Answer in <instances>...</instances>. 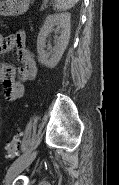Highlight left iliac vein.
Wrapping results in <instances>:
<instances>
[{
	"mask_svg": "<svg viewBox=\"0 0 119 185\" xmlns=\"http://www.w3.org/2000/svg\"><path fill=\"white\" fill-rule=\"evenodd\" d=\"M36 152H32L24 157L15 167H13L6 176L5 185H11L14 178L20 174L25 168H27L35 159Z\"/></svg>",
	"mask_w": 119,
	"mask_h": 185,
	"instance_id": "left-iliac-vein-1",
	"label": "left iliac vein"
}]
</instances>
